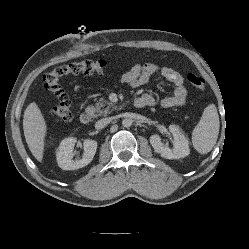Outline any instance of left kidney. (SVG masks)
Returning a JSON list of instances; mask_svg holds the SVG:
<instances>
[{
    "mask_svg": "<svg viewBox=\"0 0 249 249\" xmlns=\"http://www.w3.org/2000/svg\"><path fill=\"white\" fill-rule=\"evenodd\" d=\"M169 131L173 135V149L165 146L161 142L159 135H152L150 137V144L152 145L154 151L160 154L163 158L166 159H179L184 158L189 155V143L188 139L180 131V129L175 125L169 126Z\"/></svg>",
    "mask_w": 249,
    "mask_h": 249,
    "instance_id": "obj_1",
    "label": "left kidney"
}]
</instances>
